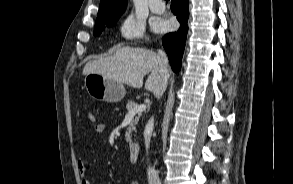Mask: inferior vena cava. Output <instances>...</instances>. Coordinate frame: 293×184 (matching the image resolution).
I'll return each instance as SVG.
<instances>
[{"mask_svg":"<svg viewBox=\"0 0 293 184\" xmlns=\"http://www.w3.org/2000/svg\"><path fill=\"white\" fill-rule=\"evenodd\" d=\"M158 64H159V72L162 79L161 89L159 92L155 93V97L158 99L162 97L164 91L166 90L168 79H169V70H168V58L166 54L162 51H158ZM154 126V118L152 117L148 124L147 129L148 132L145 134V146L146 149L149 148L151 131ZM148 183L149 184H161L157 171L154 168H148Z\"/></svg>","mask_w":293,"mask_h":184,"instance_id":"inferior-vena-cava-1","label":"inferior vena cava"}]
</instances>
